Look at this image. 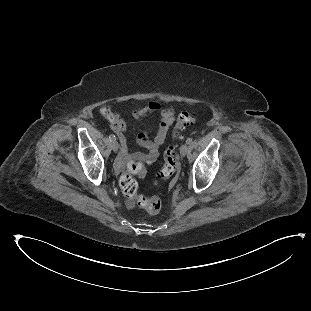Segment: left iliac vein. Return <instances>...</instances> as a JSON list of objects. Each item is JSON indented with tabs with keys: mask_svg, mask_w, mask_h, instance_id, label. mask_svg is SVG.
<instances>
[{
	"mask_svg": "<svg viewBox=\"0 0 311 311\" xmlns=\"http://www.w3.org/2000/svg\"><path fill=\"white\" fill-rule=\"evenodd\" d=\"M189 152V147L186 144H183L180 148V154L182 157L186 156Z\"/></svg>",
	"mask_w": 311,
	"mask_h": 311,
	"instance_id": "1",
	"label": "left iliac vein"
}]
</instances>
